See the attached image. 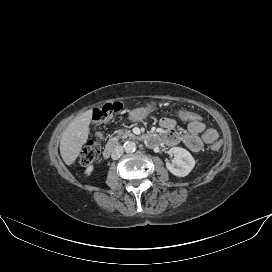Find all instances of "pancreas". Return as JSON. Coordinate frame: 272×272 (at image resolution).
Segmentation results:
<instances>
[{
	"label": "pancreas",
	"mask_w": 272,
	"mask_h": 272,
	"mask_svg": "<svg viewBox=\"0 0 272 272\" xmlns=\"http://www.w3.org/2000/svg\"><path fill=\"white\" fill-rule=\"evenodd\" d=\"M127 137H134V134H132L130 131H122V130H117L116 131V136L114 137V140H118L120 138H127Z\"/></svg>",
	"instance_id": "pancreas-1"
}]
</instances>
